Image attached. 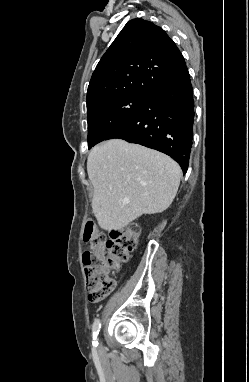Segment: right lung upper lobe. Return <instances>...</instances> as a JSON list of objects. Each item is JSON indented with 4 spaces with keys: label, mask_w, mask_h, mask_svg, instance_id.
Returning a JSON list of instances; mask_svg holds the SVG:
<instances>
[{
    "label": "right lung upper lobe",
    "mask_w": 249,
    "mask_h": 382,
    "mask_svg": "<svg viewBox=\"0 0 249 382\" xmlns=\"http://www.w3.org/2000/svg\"><path fill=\"white\" fill-rule=\"evenodd\" d=\"M185 67L181 52L161 27L130 20L92 74L87 109L129 94L149 95Z\"/></svg>",
    "instance_id": "right-lung-upper-lobe-1"
}]
</instances>
